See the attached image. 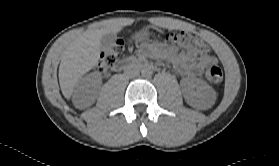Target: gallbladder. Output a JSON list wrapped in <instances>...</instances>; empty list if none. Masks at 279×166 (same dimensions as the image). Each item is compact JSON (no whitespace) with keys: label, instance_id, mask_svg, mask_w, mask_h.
<instances>
[{"label":"gallbladder","instance_id":"bac80fb5","mask_svg":"<svg viewBox=\"0 0 279 166\" xmlns=\"http://www.w3.org/2000/svg\"><path fill=\"white\" fill-rule=\"evenodd\" d=\"M101 49L105 52H109L115 46V34L108 33L101 38Z\"/></svg>","mask_w":279,"mask_h":166}]
</instances>
